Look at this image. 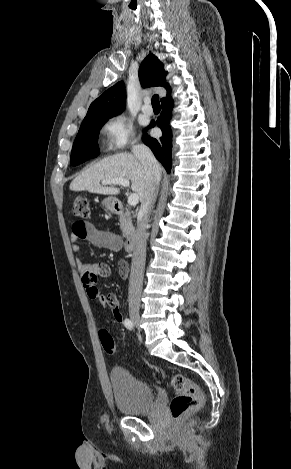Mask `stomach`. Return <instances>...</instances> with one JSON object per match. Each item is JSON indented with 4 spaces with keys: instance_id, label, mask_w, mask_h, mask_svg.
Wrapping results in <instances>:
<instances>
[{
    "instance_id": "obj_1",
    "label": "stomach",
    "mask_w": 291,
    "mask_h": 469,
    "mask_svg": "<svg viewBox=\"0 0 291 469\" xmlns=\"http://www.w3.org/2000/svg\"><path fill=\"white\" fill-rule=\"evenodd\" d=\"M102 205L109 211L113 212L115 210L116 198L108 197L105 198L102 202Z\"/></svg>"
}]
</instances>
